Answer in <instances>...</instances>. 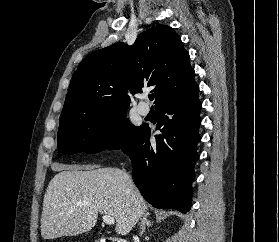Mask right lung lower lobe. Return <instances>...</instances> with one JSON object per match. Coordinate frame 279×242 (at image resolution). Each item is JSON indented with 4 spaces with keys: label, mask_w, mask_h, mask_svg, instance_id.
<instances>
[{
    "label": "right lung lower lobe",
    "mask_w": 279,
    "mask_h": 242,
    "mask_svg": "<svg viewBox=\"0 0 279 242\" xmlns=\"http://www.w3.org/2000/svg\"><path fill=\"white\" fill-rule=\"evenodd\" d=\"M196 84L186 93L157 106L156 144L151 130L143 126L132 143L123 150L133 164V181L144 199L156 208H174L186 213L191 207L194 166L199 158L200 110Z\"/></svg>",
    "instance_id": "98d812e1"
}]
</instances>
